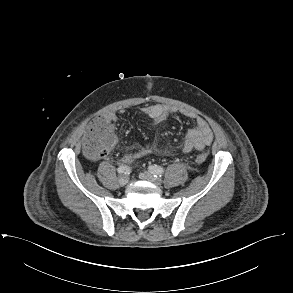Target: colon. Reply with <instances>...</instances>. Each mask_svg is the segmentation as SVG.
<instances>
[{
    "label": "colon",
    "mask_w": 293,
    "mask_h": 293,
    "mask_svg": "<svg viewBox=\"0 0 293 293\" xmlns=\"http://www.w3.org/2000/svg\"><path fill=\"white\" fill-rule=\"evenodd\" d=\"M116 143L114 128L103 117L93 118L84 136V152L90 158L103 157ZM208 158L206 152L196 155L197 162H204Z\"/></svg>",
    "instance_id": "obj_1"
}]
</instances>
